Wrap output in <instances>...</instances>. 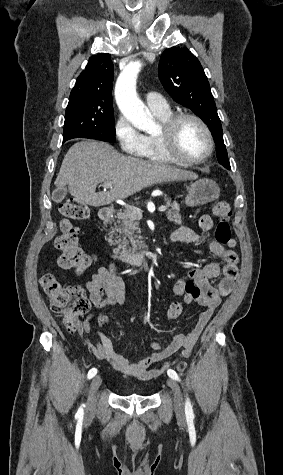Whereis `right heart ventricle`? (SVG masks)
<instances>
[{
  "instance_id": "1",
  "label": "right heart ventricle",
  "mask_w": 283,
  "mask_h": 475,
  "mask_svg": "<svg viewBox=\"0 0 283 475\" xmlns=\"http://www.w3.org/2000/svg\"><path fill=\"white\" fill-rule=\"evenodd\" d=\"M154 116L161 122L162 125L173 115V111L168 107L164 110H154L152 111ZM158 134H149L145 136L146 138V149L144 157L146 160L151 161H162L163 159L158 151Z\"/></svg>"
}]
</instances>
